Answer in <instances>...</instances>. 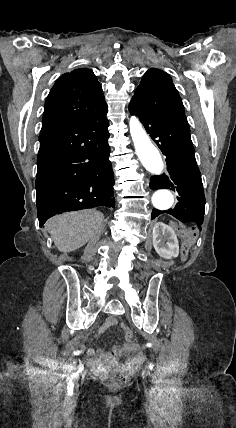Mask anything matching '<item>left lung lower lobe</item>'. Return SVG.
<instances>
[{"instance_id":"0a47b994","label":"left lung lower lobe","mask_w":236,"mask_h":428,"mask_svg":"<svg viewBox=\"0 0 236 428\" xmlns=\"http://www.w3.org/2000/svg\"><path fill=\"white\" fill-rule=\"evenodd\" d=\"M129 111L140 118L150 137L166 156L168 173L152 176L150 188L170 189L179 195L177 197L179 202L174 209L166 211L153 209L151 218L168 213L183 223H195L201 230L205 195L188 123L169 117L150 116L130 107Z\"/></svg>"}]
</instances>
